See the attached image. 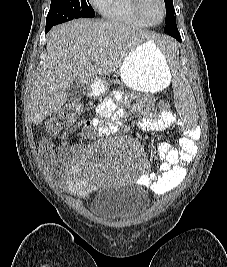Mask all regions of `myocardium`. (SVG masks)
<instances>
[{
  "label": "myocardium",
  "mask_w": 227,
  "mask_h": 267,
  "mask_svg": "<svg viewBox=\"0 0 227 267\" xmlns=\"http://www.w3.org/2000/svg\"><path fill=\"white\" fill-rule=\"evenodd\" d=\"M159 2L161 4V8H162V15H161V19L155 23L148 21V19L146 18L145 14L143 12V0H133V7H134L136 14L139 16V18H141L147 25L155 26V25L160 24L166 17L165 0H159Z\"/></svg>",
  "instance_id": "myocardium-1"
}]
</instances>
